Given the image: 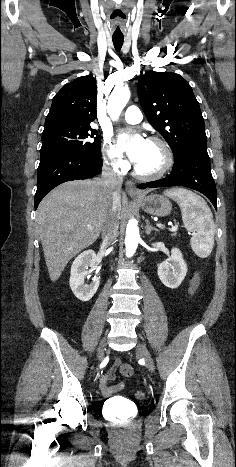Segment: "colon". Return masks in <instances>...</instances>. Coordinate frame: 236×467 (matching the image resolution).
<instances>
[{"label": "colon", "mask_w": 236, "mask_h": 467, "mask_svg": "<svg viewBox=\"0 0 236 467\" xmlns=\"http://www.w3.org/2000/svg\"><path fill=\"white\" fill-rule=\"evenodd\" d=\"M199 280H200V273L197 271V272H195V274H194V276L192 278V281H191V289L192 290H195L198 287ZM135 397L137 399H142V398H144V393L142 391H137L135 393Z\"/></svg>", "instance_id": "colon-1"}]
</instances>
